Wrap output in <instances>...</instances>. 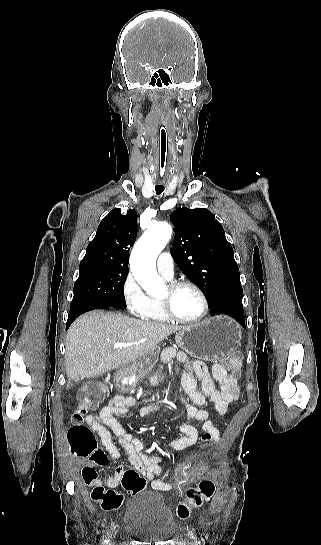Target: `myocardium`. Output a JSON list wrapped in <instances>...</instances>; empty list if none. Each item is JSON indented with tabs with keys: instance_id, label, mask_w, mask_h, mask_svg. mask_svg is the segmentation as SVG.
<instances>
[{
	"instance_id": "obj_1",
	"label": "myocardium",
	"mask_w": 321,
	"mask_h": 545,
	"mask_svg": "<svg viewBox=\"0 0 321 545\" xmlns=\"http://www.w3.org/2000/svg\"><path fill=\"white\" fill-rule=\"evenodd\" d=\"M166 287L172 293H175V292H177V291H179V290H181L183 288H191V289L195 290L198 293V295L200 296V299L202 301L201 313L194 319L181 318L170 308V306L167 303L158 302L162 312L168 318V320H170L172 322H175V323H178V324H183V325H195V324L201 323L206 318V316L209 313V300H208L205 292L203 291V289L200 286H198L197 284H195V283H193L191 281L184 280V281L170 282V283L167 284Z\"/></svg>"
}]
</instances>
